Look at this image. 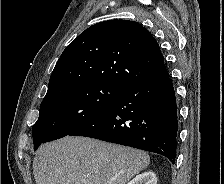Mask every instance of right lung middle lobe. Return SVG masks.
Here are the masks:
<instances>
[{
  "label": "right lung middle lobe",
  "instance_id": "1",
  "mask_svg": "<svg viewBox=\"0 0 224 184\" xmlns=\"http://www.w3.org/2000/svg\"><path fill=\"white\" fill-rule=\"evenodd\" d=\"M127 86L93 81L72 85L44 99L33 125L34 150L45 142L69 135L104 111Z\"/></svg>",
  "mask_w": 224,
  "mask_h": 184
}]
</instances>
